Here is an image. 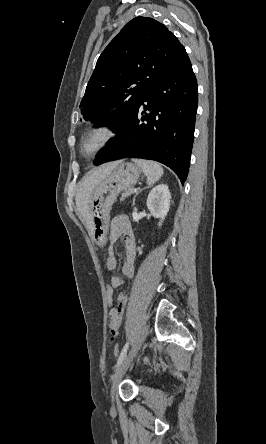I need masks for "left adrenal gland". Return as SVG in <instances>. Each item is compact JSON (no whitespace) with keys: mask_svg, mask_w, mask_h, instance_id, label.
Wrapping results in <instances>:
<instances>
[{"mask_svg":"<svg viewBox=\"0 0 266 444\" xmlns=\"http://www.w3.org/2000/svg\"><path fill=\"white\" fill-rule=\"evenodd\" d=\"M138 193H136L135 197L133 198V205H135V198L137 196Z\"/></svg>","mask_w":266,"mask_h":444,"instance_id":"left-adrenal-gland-1","label":"left adrenal gland"}]
</instances>
